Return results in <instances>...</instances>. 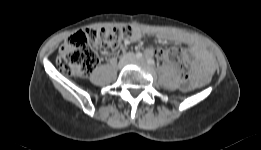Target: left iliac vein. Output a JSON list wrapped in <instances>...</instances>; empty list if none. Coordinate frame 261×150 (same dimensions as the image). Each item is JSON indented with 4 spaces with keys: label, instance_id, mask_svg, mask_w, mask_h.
<instances>
[{
    "label": "left iliac vein",
    "instance_id": "left-iliac-vein-1",
    "mask_svg": "<svg viewBox=\"0 0 261 150\" xmlns=\"http://www.w3.org/2000/svg\"><path fill=\"white\" fill-rule=\"evenodd\" d=\"M137 62H144L145 60L143 58L141 59H136Z\"/></svg>",
    "mask_w": 261,
    "mask_h": 150
}]
</instances>
